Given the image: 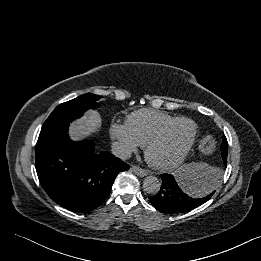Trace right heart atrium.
Listing matches in <instances>:
<instances>
[{
  "instance_id": "1",
  "label": "right heart atrium",
  "mask_w": 261,
  "mask_h": 261,
  "mask_svg": "<svg viewBox=\"0 0 261 261\" xmlns=\"http://www.w3.org/2000/svg\"><path fill=\"white\" fill-rule=\"evenodd\" d=\"M109 135L113 141L115 151L120 156H128L135 152L139 144L132 136L125 124L113 122L109 127Z\"/></svg>"
}]
</instances>
